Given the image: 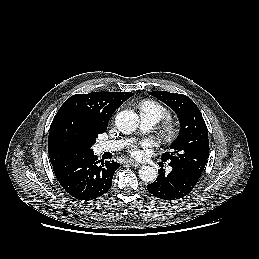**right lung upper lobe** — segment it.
<instances>
[{"mask_svg": "<svg viewBox=\"0 0 259 259\" xmlns=\"http://www.w3.org/2000/svg\"><path fill=\"white\" fill-rule=\"evenodd\" d=\"M133 95L131 92H92L76 94L67 99L55 115L50 126V141L55 131L69 125L97 135L106 131L111 115Z\"/></svg>", "mask_w": 259, "mask_h": 259, "instance_id": "obj_1", "label": "right lung upper lobe"}]
</instances>
